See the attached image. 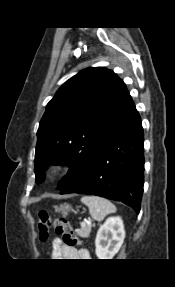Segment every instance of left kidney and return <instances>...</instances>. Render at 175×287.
<instances>
[{
	"instance_id": "1",
	"label": "left kidney",
	"mask_w": 175,
	"mask_h": 287,
	"mask_svg": "<svg viewBox=\"0 0 175 287\" xmlns=\"http://www.w3.org/2000/svg\"><path fill=\"white\" fill-rule=\"evenodd\" d=\"M125 238L123 221L120 217H109L100 226L96 239V255L98 259H112L121 248Z\"/></svg>"
}]
</instances>
